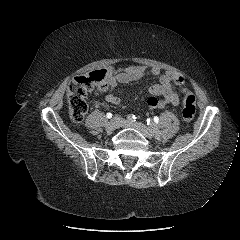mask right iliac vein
<instances>
[{
  "instance_id": "1",
  "label": "right iliac vein",
  "mask_w": 240,
  "mask_h": 240,
  "mask_svg": "<svg viewBox=\"0 0 240 240\" xmlns=\"http://www.w3.org/2000/svg\"><path fill=\"white\" fill-rule=\"evenodd\" d=\"M123 119L120 117H114L112 118L107 124H106V130L108 131H114L122 126Z\"/></svg>"
}]
</instances>
